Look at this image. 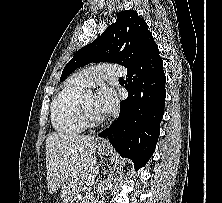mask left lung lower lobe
<instances>
[{
  "instance_id": "left-lung-lower-lobe-1",
  "label": "left lung lower lobe",
  "mask_w": 222,
  "mask_h": 203,
  "mask_svg": "<svg viewBox=\"0 0 222 203\" xmlns=\"http://www.w3.org/2000/svg\"><path fill=\"white\" fill-rule=\"evenodd\" d=\"M165 73L152 34L136 62L127 69L128 98L121 101L118 118L99 137H108L116 151L137 169L153 154L165 105Z\"/></svg>"
}]
</instances>
